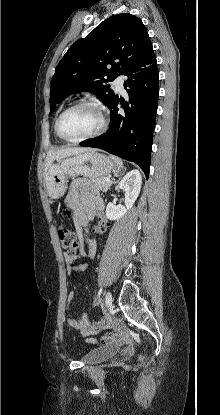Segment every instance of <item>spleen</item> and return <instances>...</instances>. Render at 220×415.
Returning <instances> with one entry per match:
<instances>
[{"label":"spleen","instance_id":"spleen-1","mask_svg":"<svg viewBox=\"0 0 220 415\" xmlns=\"http://www.w3.org/2000/svg\"><path fill=\"white\" fill-rule=\"evenodd\" d=\"M110 158L116 163V165L120 168L123 167V161L114 155H110Z\"/></svg>","mask_w":220,"mask_h":415}]
</instances>
